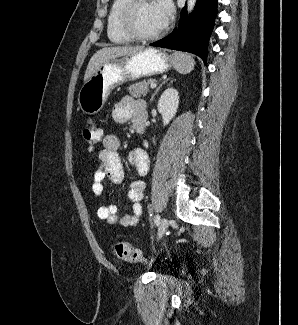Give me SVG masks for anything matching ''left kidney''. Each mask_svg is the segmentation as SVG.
Returning <instances> with one entry per match:
<instances>
[{
    "label": "left kidney",
    "instance_id": "left-kidney-1",
    "mask_svg": "<svg viewBox=\"0 0 298 325\" xmlns=\"http://www.w3.org/2000/svg\"><path fill=\"white\" fill-rule=\"evenodd\" d=\"M179 92L174 86H169L164 92H162L158 102L157 110L162 116V122L164 126L169 124L170 120L174 118L179 108Z\"/></svg>",
    "mask_w": 298,
    "mask_h": 325
}]
</instances>
